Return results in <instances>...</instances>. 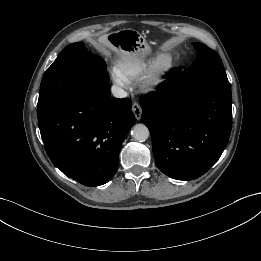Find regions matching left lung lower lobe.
Listing matches in <instances>:
<instances>
[{
  "label": "left lung lower lobe",
  "instance_id": "0a47b994",
  "mask_svg": "<svg viewBox=\"0 0 261 261\" xmlns=\"http://www.w3.org/2000/svg\"><path fill=\"white\" fill-rule=\"evenodd\" d=\"M180 68L158 92L140 98L157 167L193 180L219 159L231 132V89L225 72L205 70L184 81Z\"/></svg>",
  "mask_w": 261,
  "mask_h": 261
}]
</instances>
